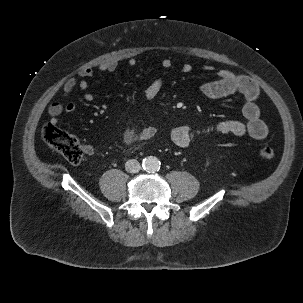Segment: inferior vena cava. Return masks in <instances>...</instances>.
<instances>
[{"label":"inferior vena cava","mask_w":303,"mask_h":303,"mask_svg":"<svg viewBox=\"0 0 303 303\" xmlns=\"http://www.w3.org/2000/svg\"><path fill=\"white\" fill-rule=\"evenodd\" d=\"M125 169L129 173H138L141 169V166L137 160L130 159L126 162Z\"/></svg>","instance_id":"obj_1"}]
</instances>
